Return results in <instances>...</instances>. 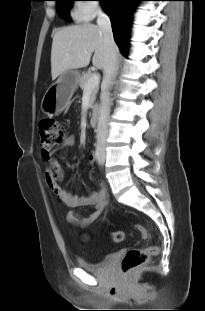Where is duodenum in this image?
<instances>
[{
	"label": "duodenum",
	"mask_w": 205,
	"mask_h": 311,
	"mask_svg": "<svg viewBox=\"0 0 205 311\" xmlns=\"http://www.w3.org/2000/svg\"><path fill=\"white\" fill-rule=\"evenodd\" d=\"M98 115H99V108L98 106H93L91 111H90V114H89V121H90V124L95 126L98 122Z\"/></svg>",
	"instance_id": "duodenum-1"
}]
</instances>
